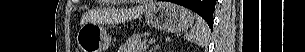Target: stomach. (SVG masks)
Segmentation results:
<instances>
[{"mask_svg": "<svg viewBox=\"0 0 305 52\" xmlns=\"http://www.w3.org/2000/svg\"><path fill=\"white\" fill-rule=\"evenodd\" d=\"M150 27L168 33L185 31L194 22L189 9L167 1H156L145 12ZM77 44L82 52H102L111 44V37L102 23L88 22L77 33Z\"/></svg>", "mask_w": 305, "mask_h": 52, "instance_id": "obj_1", "label": "stomach"}]
</instances>
